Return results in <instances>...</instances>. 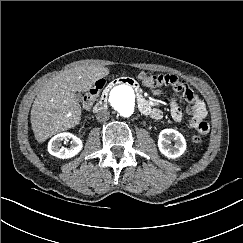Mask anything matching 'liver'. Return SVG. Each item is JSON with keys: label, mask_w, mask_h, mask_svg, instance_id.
<instances>
[{"label": "liver", "mask_w": 243, "mask_h": 243, "mask_svg": "<svg viewBox=\"0 0 243 243\" xmlns=\"http://www.w3.org/2000/svg\"><path fill=\"white\" fill-rule=\"evenodd\" d=\"M109 74L99 65H81L65 70L41 86L31 109L35 139L42 143L52 135L79 124L81 106L76 92L88 91L95 82Z\"/></svg>", "instance_id": "obj_1"}]
</instances>
